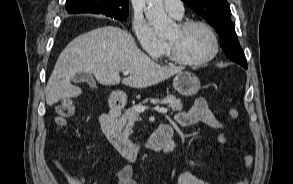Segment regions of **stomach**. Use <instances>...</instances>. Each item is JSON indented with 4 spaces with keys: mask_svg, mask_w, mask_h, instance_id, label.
<instances>
[{
    "mask_svg": "<svg viewBox=\"0 0 293 184\" xmlns=\"http://www.w3.org/2000/svg\"><path fill=\"white\" fill-rule=\"evenodd\" d=\"M174 89L183 96L189 97L195 95L200 89V81L196 75L189 71L179 72L173 79ZM121 93L114 92L115 96H119Z\"/></svg>",
    "mask_w": 293,
    "mask_h": 184,
    "instance_id": "0dacf381",
    "label": "stomach"
}]
</instances>
